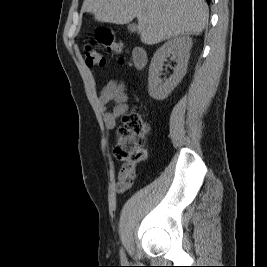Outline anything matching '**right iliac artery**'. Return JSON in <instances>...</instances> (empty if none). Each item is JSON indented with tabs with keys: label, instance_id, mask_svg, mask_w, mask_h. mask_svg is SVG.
I'll return each instance as SVG.
<instances>
[{
	"label": "right iliac artery",
	"instance_id": "obj_1",
	"mask_svg": "<svg viewBox=\"0 0 267 267\" xmlns=\"http://www.w3.org/2000/svg\"><path fill=\"white\" fill-rule=\"evenodd\" d=\"M120 258H121V262H123V263L127 262L126 255H125L123 249L120 250Z\"/></svg>",
	"mask_w": 267,
	"mask_h": 267
}]
</instances>
